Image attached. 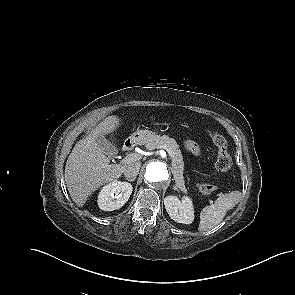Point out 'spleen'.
<instances>
[{"label":"spleen","instance_id":"spleen-1","mask_svg":"<svg viewBox=\"0 0 295 295\" xmlns=\"http://www.w3.org/2000/svg\"><path fill=\"white\" fill-rule=\"evenodd\" d=\"M240 199L241 193L239 191L220 195L214 204L201 210L198 230L207 231L217 226L223 220L227 211L235 207Z\"/></svg>","mask_w":295,"mask_h":295}]
</instances>
